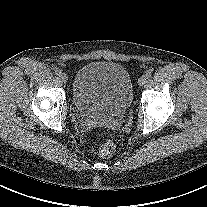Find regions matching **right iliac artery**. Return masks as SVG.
<instances>
[{
    "instance_id": "obj_1",
    "label": "right iliac artery",
    "mask_w": 207,
    "mask_h": 207,
    "mask_svg": "<svg viewBox=\"0 0 207 207\" xmlns=\"http://www.w3.org/2000/svg\"><path fill=\"white\" fill-rule=\"evenodd\" d=\"M54 72H55L56 75H60V74H61V71H60L58 68H56V69L54 70Z\"/></svg>"
}]
</instances>
